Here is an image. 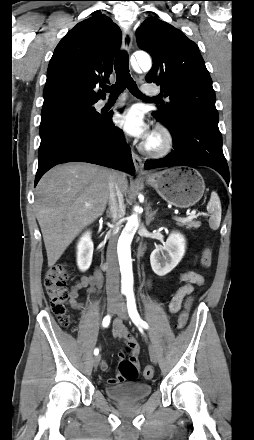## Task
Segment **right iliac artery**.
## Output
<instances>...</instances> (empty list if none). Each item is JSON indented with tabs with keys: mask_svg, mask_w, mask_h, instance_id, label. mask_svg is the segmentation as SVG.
<instances>
[{
	"mask_svg": "<svg viewBox=\"0 0 254 440\" xmlns=\"http://www.w3.org/2000/svg\"><path fill=\"white\" fill-rule=\"evenodd\" d=\"M110 319H111V317L109 315L104 317L103 322H102L103 327H108V325L110 323ZM98 353H99V349L96 348L94 350V354L98 355Z\"/></svg>",
	"mask_w": 254,
	"mask_h": 440,
	"instance_id": "right-iliac-artery-1",
	"label": "right iliac artery"
}]
</instances>
